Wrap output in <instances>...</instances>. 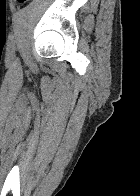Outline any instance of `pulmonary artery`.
<instances>
[{
	"instance_id": "1",
	"label": "pulmonary artery",
	"mask_w": 140,
	"mask_h": 196,
	"mask_svg": "<svg viewBox=\"0 0 140 196\" xmlns=\"http://www.w3.org/2000/svg\"><path fill=\"white\" fill-rule=\"evenodd\" d=\"M38 192H51V191H38Z\"/></svg>"
}]
</instances>
